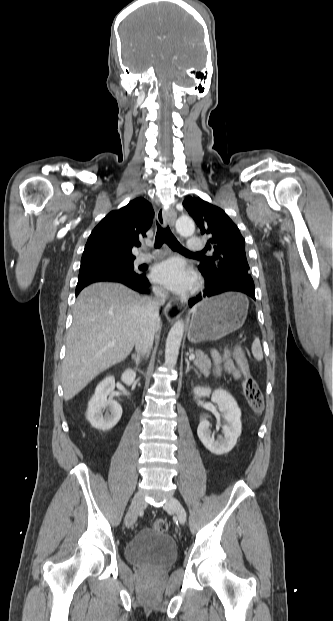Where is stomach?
<instances>
[{
	"mask_svg": "<svg viewBox=\"0 0 333 621\" xmlns=\"http://www.w3.org/2000/svg\"><path fill=\"white\" fill-rule=\"evenodd\" d=\"M247 307L241 294L230 292L200 302L192 311L189 341H216L236 331L245 322Z\"/></svg>",
	"mask_w": 333,
	"mask_h": 621,
	"instance_id": "obj_1",
	"label": "stomach"
}]
</instances>
